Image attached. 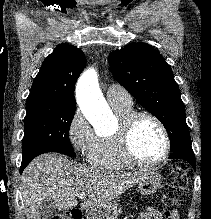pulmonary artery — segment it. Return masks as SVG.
I'll use <instances>...</instances> for the list:
<instances>
[{
  "instance_id": "obj_1",
  "label": "pulmonary artery",
  "mask_w": 211,
  "mask_h": 219,
  "mask_svg": "<svg viewBox=\"0 0 211 219\" xmlns=\"http://www.w3.org/2000/svg\"><path fill=\"white\" fill-rule=\"evenodd\" d=\"M106 98L110 105H132L131 95L121 86L112 84L106 90Z\"/></svg>"
}]
</instances>
